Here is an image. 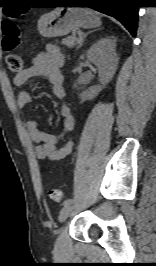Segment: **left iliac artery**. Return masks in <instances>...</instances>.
<instances>
[{"instance_id":"obj_1","label":"left iliac artery","mask_w":156,"mask_h":266,"mask_svg":"<svg viewBox=\"0 0 156 266\" xmlns=\"http://www.w3.org/2000/svg\"><path fill=\"white\" fill-rule=\"evenodd\" d=\"M73 203V200L72 199H67L63 202V206H66V205H70Z\"/></svg>"}]
</instances>
